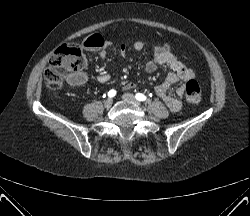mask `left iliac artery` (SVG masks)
<instances>
[{
  "instance_id": "left-iliac-artery-1",
  "label": "left iliac artery",
  "mask_w": 250,
  "mask_h": 216,
  "mask_svg": "<svg viewBox=\"0 0 250 216\" xmlns=\"http://www.w3.org/2000/svg\"><path fill=\"white\" fill-rule=\"evenodd\" d=\"M135 97L138 101H145L147 99V97L142 93H137Z\"/></svg>"
}]
</instances>
